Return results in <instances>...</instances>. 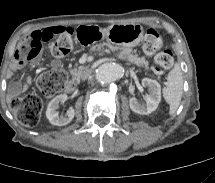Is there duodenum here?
Segmentation results:
<instances>
[{"instance_id":"obj_1","label":"duodenum","mask_w":215,"mask_h":183,"mask_svg":"<svg viewBox=\"0 0 215 183\" xmlns=\"http://www.w3.org/2000/svg\"><path fill=\"white\" fill-rule=\"evenodd\" d=\"M74 89H75V84L72 81L68 82L65 86L66 92H72Z\"/></svg>"}]
</instances>
